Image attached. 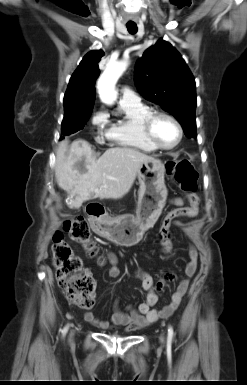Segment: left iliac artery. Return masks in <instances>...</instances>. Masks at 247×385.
<instances>
[{"instance_id": "44dca946", "label": "left iliac artery", "mask_w": 247, "mask_h": 385, "mask_svg": "<svg viewBox=\"0 0 247 385\" xmlns=\"http://www.w3.org/2000/svg\"><path fill=\"white\" fill-rule=\"evenodd\" d=\"M173 337V329L172 327L168 328V343H171Z\"/></svg>"}]
</instances>
